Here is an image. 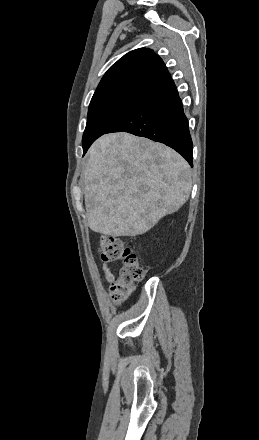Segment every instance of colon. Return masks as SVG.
<instances>
[{"mask_svg": "<svg viewBox=\"0 0 259 440\" xmlns=\"http://www.w3.org/2000/svg\"><path fill=\"white\" fill-rule=\"evenodd\" d=\"M99 254L104 262L121 263L118 276L110 286L112 299L121 303L134 291L135 283L144 278L145 270L139 257L118 238L103 236Z\"/></svg>", "mask_w": 259, "mask_h": 440, "instance_id": "5ec220e1", "label": "colon"}]
</instances>
